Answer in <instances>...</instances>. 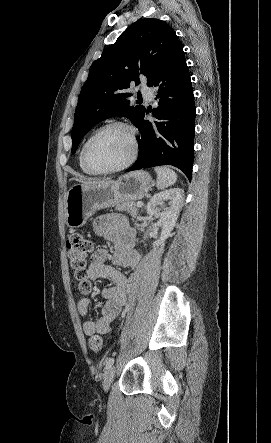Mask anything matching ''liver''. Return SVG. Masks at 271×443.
<instances>
[{
  "label": "liver",
  "mask_w": 271,
  "mask_h": 443,
  "mask_svg": "<svg viewBox=\"0 0 271 443\" xmlns=\"http://www.w3.org/2000/svg\"><path fill=\"white\" fill-rule=\"evenodd\" d=\"M72 180H75V178H72ZM78 182H81V186H85V184H98V182H82V180H78Z\"/></svg>",
  "instance_id": "6515ba94"
}]
</instances>
